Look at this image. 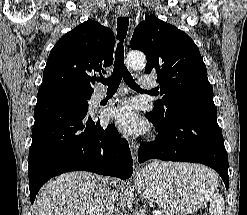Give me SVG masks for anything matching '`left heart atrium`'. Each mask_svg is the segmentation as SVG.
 Masks as SVG:
<instances>
[{
	"instance_id": "1",
	"label": "left heart atrium",
	"mask_w": 247,
	"mask_h": 215,
	"mask_svg": "<svg viewBox=\"0 0 247 215\" xmlns=\"http://www.w3.org/2000/svg\"><path fill=\"white\" fill-rule=\"evenodd\" d=\"M108 115L122 133L135 134L147 128L146 122L138 115L133 101L120 103L112 108Z\"/></svg>"
}]
</instances>
